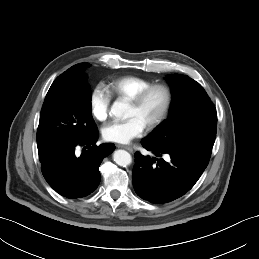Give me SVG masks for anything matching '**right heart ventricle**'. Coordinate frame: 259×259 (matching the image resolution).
Here are the masks:
<instances>
[{
    "instance_id": "right-heart-ventricle-1",
    "label": "right heart ventricle",
    "mask_w": 259,
    "mask_h": 259,
    "mask_svg": "<svg viewBox=\"0 0 259 259\" xmlns=\"http://www.w3.org/2000/svg\"><path fill=\"white\" fill-rule=\"evenodd\" d=\"M150 85L152 82L148 79L129 75L112 80L108 84V89L116 99L129 100Z\"/></svg>"
}]
</instances>
